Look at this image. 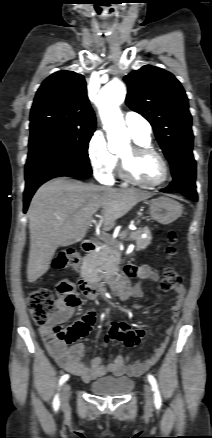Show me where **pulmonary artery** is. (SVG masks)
<instances>
[{"label":"pulmonary artery","instance_id":"e3ab8cb5","mask_svg":"<svg viewBox=\"0 0 212 438\" xmlns=\"http://www.w3.org/2000/svg\"><path fill=\"white\" fill-rule=\"evenodd\" d=\"M124 123L133 137L150 138L151 125L139 113L129 111L125 114Z\"/></svg>","mask_w":212,"mask_h":438}]
</instances>
